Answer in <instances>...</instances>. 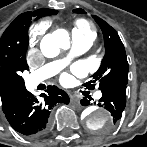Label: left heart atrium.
I'll return each instance as SVG.
<instances>
[{
    "label": "left heart atrium",
    "instance_id": "1",
    "mask_svg": "<svg viewBox=\"0 0 147 147\" xmlns=\"http://www.w3.org/2000/svg\"><path fill=\"white\" fill-rule=\"evenodd\" d=\"M61 79H62L63 82H67L68 79H69L68 74H63Z\"/></svg>",
    "mask_w": 147,
    "mask_h": 147
}]
</instances>
